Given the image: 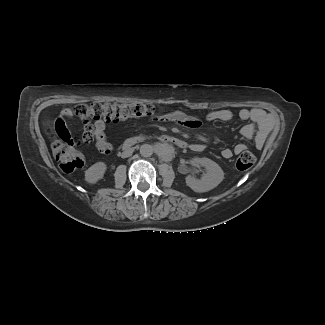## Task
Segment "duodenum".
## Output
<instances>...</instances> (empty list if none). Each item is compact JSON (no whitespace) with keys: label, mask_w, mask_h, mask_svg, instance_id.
<instances>
[{"label":"duodenum","mask_w":325,"mask_h":325,"mask_svg":"<svg viewBox=\"0 0 325 325\" xmlns=\"http://www.w3.org/2000/svg\"><path fill=\"white\" fill-rule=\"evenodd\" d=\"M147 140V137L146 136H136V137H132V138H129L127 140H125L122 144V147L124 149H129V148H132L140 143H143L144 141ZM159 140L163 143H166V144H171V145H174L178 148H186L187 147V143L182 140V139H179L177 137H174V136H171V135H161L159 137Z\"/></svg>","instance_id":"410a0bca"}]
</instances>
